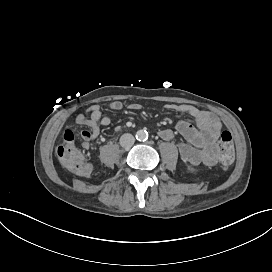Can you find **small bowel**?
Wrapping results in <instances>:
<instances>
[{"label": "small bowel", "instance_id": "c3829d8e", "mask_svg": "<svg viewBox=\"0 0 272 272\" xmlns=\"http://www.w3.org/2000/svg\"><path fill=\"white\" fill-rule=\"evenodd\" d=\"M123 107V103L118 100L109 104V109L114 112L122 110ZM128 108L139 110L141 106L137 103H132ZM166 109L179 114H188L194 120V123H191L184 119H179L176 123L177 132L185 139V142L178 144L181 159L194 165L202 163L206 166H211L213 162L210 161L206 150L210 145L214 144L221 133L222 123L220 120L212 112L189 104H167ZM74 123L89 128L81 131V137L83 138L82 147L89 149L92 142L99 137L100 129L111 124V118L103 115L101 107L94 104L89 106L85 113L78 114ZM67 127L73 129L72 124ZM158 136L162 140L169 141L174 138V133L169 129H163L159 131Z\"/></svg>", "mask_w": 272, "mask_h": 272}]
</instances>
